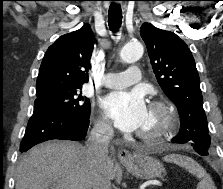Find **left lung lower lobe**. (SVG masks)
Wrapping results in <instances>:
<instances>
[{
  "mask_svg": "<svg viewBox=\"0 0 223 189\" xmlns=\"http://www.w3.org/2000/svg\"><path fill=\"white\" fill-rule=\"evenodd\" d=\"M198 154L202 155V156H207L208 155V151H204L203 149L200 148H193Z\"/></svg>",
  "mask_w": 223,
  "mask_h": 189,
  "instance_id": "left-lung-lower-lobe-1",
  "label": "left lung lower lobe"
}]
</instances>
